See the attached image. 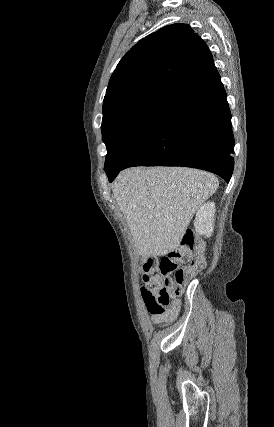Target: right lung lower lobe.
Masks as SVG:
<instances>
[{
  "instance_id": "1",
  "label": "right lung lower lobe",
  "mask_w": 274,
  "mask_h": 427,
  "mask_svg": "<svg viewBox=\"0 0 274 427\" xmlns=\"http://www.w3.org/2000/svg\"><path fill=\"white\" fill-rule=\"evenodd\" d=\"M226 97L218 74L176 99L128 160L104 167L109 181L131 166H185L213 172L229 182L234 138Z\"/></svg>"
}]
</instances>
